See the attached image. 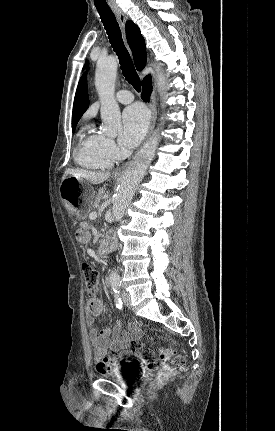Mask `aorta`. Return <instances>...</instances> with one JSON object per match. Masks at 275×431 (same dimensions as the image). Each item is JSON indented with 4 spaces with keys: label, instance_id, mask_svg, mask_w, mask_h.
Listing matches in <instances>:
<instances>
[{
    "label": "aorta",
    "instance_id": "obj_1",
    "mask_svg": "<svg viewBox=\"0 0 275 431\" xmlns=\"http://www.w3.org/2000/svg\"><path fill=\"white\" fill-rule=\"evenodd\" d=\"M117 66V59L109 56L98 61L95 72V86L101 103L103 132L109 137L116 136L121 129L120 109L114 97ZM156 77L159 90L163 92L166 78L159 67L156 69ZM159 140L160 136L158 132H155L125 170L113 202L112 216L115 220L123 217L138 184L155 156ZM109 280L111 283L119 282L120 276L116 272H112Z\"/></svg>",
    "mask_w": 275,
    "mask_h": 431
}]
</instances>
